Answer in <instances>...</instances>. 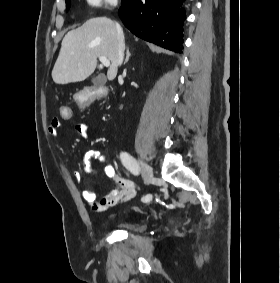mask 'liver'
I'll return each instance as SVG.
<instances>
[{"label":"liver","instance_id":"6515ba94","mask_svg":"<svg viewBox=\"0 0 280 283\" xmlns=\"http://www.w3.org/2000/svg\"><path fill=\"white\" fill-rule=\"evenodd\" d=\"M99 56L110 61L107 78L112 81L118 71V37L116 24L106 17L91 18L65 35L52 70L53 81H83L94 72Z\"/></svg>","mask_w":280,"mask_h":283}]
</instances>
